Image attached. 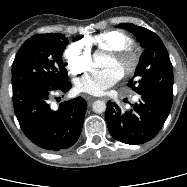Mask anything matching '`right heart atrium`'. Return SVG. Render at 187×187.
Listing matches in <instances>:
<instances>
[{"mask_svg":"<svg viewBox=\"0 0 187 187\" xmlns=\"http://www.w3.org/2000/svg\"><path fill=\"white\" fill-rule=\"evenodd\" d=\"M64 58L71 73L77 75L84 72L91 65L90 44L85 40L70 44L65 50Z\"/></svg>","mask_w":187,"mask_h":187,"instance_id":"obj_1","label":"right heart atrium"}]
</instances>
